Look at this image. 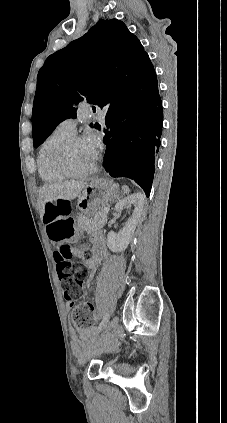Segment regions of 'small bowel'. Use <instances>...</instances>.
<instances>
[{
	"mask_svg": "<svg viewBox=\"0 0 227 423\" xmlns=\"http://www.w3.org/2000/svg\"><path fill=\"white\" fill-rule=\"evenodd\" d=\"M67 222H71V220L68 219V218L59 217V218L53 220L52 222L46 223V231H47L48 237L52 241L55 242L54 237H53V229L57 225H59L61 223H67ZM100 260H101V255H97V256H94L93 258H90L86 261L87 268L89 269V277H88V280H87L88 285L91 284L92 277H93L94 272L96 271V269H97V267L100 263ZM74 304H75V301L66 300L67 309H71L74 306ZM77 330L80 334L81 342H75L74 345H73V350H74V353L77 356H81L83 349L85 347L89 346L93 342L97 332H96V329L94 327L77 328Z\"/></svg>",
	"mask_w": 227,
	"mask_h": 423,
	"instance_id": "obj_1",
	"label": "small bowel"
}]
</instances>
